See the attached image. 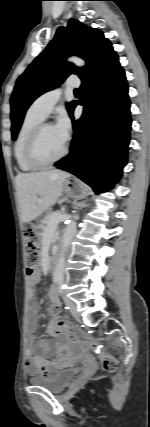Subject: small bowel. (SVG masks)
<instances>
[{"label":"small bowel","mask_w":150,"mask_h":427,"mask_svg":"<svg viewBox=\"0 0 150 427\" xmlns=\"http://www.w3.org/2000/svg\"><path fill=\"white\" fill-rule=\"evenodd\" d=\"M47 254L43 253L44 263L42 270H47L46 265ZM40 273L36 271L31 275L29 280V286L31 289L28 313L25 322V328L27 333V348L25 350V365L29 374L46 376L58 366H60L65 360V353L77 355L81 352V348L78 345L72 344L69 339L65 336L59 338L57 341L52 342L48 339H35V334L38 327V311L39 302L35 299L33 294L34 287L39 283ZM49 299L56 308H59L60 302L57 296L56 289L52 287L49 291ZM54 321L50 325L52 329ZM34 347L41 351L44 355L34 353Z\"/></svg>","instance_id":"obj_1"}]
</instances>
